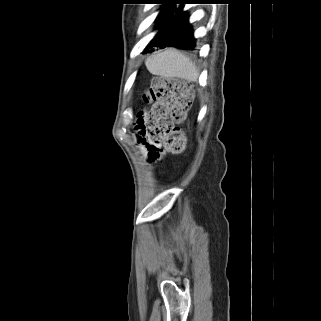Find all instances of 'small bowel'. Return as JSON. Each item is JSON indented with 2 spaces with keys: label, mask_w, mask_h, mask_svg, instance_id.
Instances as JSON below:
<instances>
[{
  "label": "small bowel",
  "mask_w": 321,
  "mask_h": 321,
  "mask_svg": "<svg viewBox=\"0 0 321 321\" xmlns=\"http://www.w3.org/2000/svg\"><path fill=\"white\" fill-rule=\"evenodd\" d=\"M147 117L145 113H140L136 121L137 140L139 147L142 151H146L150 160H154L151 157V152L154 148V143L151 138V134L147 129Z\"/></svg>",
  "instance_id": "1"
}]
</instances>
